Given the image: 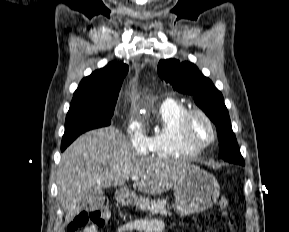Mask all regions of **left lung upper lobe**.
<instances>
[{"instance_id":"left-lung-upper-lobe-1","label":"left lung upper lobe","mask_w":289,"mask_h":232,"mask_svg":"<svg viewBox=\"0 0 289 232\" xmlns=\"http://www.w3.org/2000/svg\"><path fill=\"white\" fill-rule=\"evenodd\" d=\"M162 80L173 89L194 96L195 103L206 113L217 127L219 158L244 165L221 92L190 62L176 59L160 60L157 67Z\"/></svg>"}]
</instances>
